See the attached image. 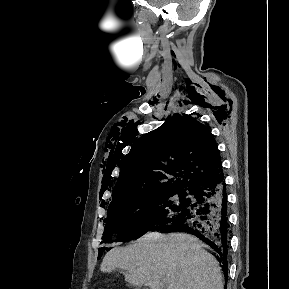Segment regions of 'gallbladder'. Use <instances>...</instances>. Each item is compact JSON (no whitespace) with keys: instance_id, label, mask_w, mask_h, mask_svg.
Instances as JSON below:
<instances>
[{"instance_id":"bac80fb5","label":"gallbladder","mask_w":289,"mask_h":289,"mask_svg":"<svg viewBox=\"0 0 289 289\" xmlns=\"http://www.w3.org/2000/svg\"><path fill=\"white\" fill-rule=\"evenodd\" d=\"M137 289H148L147 287H143V288H137Z\"/></svg>"}]
</instances>
